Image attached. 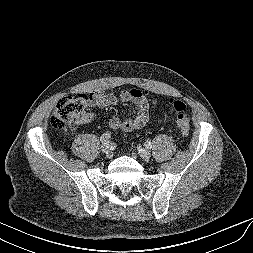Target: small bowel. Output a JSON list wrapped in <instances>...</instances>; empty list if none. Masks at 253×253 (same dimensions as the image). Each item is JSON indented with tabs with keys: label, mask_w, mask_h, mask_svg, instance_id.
Returning <instances> with one entry per match:
<instances>
[{
	"label": "small bowel",
	"mask_w": 253,
	"mask_h": 253,
	"mask_svg": "<svg viewBox=\"0 0 253 253\" xmlns=\"http://www.w3.org/2000/svg\"><path fill=\"white\" fill-rule=\"evenodd\" d=\"M89 105L92 107L104 108L114 105L118 102L132 103L136 109L134 116L120 119L113 117L109 121V127L112 130L132 131L144 127L149 121L150 103L147 95L139 89L125 90L118 94H106L101 91L90 92L86 96ZM91 114L90 118L91 119Z\"/></svg>",
	"instance_id": "obj_1"
}]
</instances>
